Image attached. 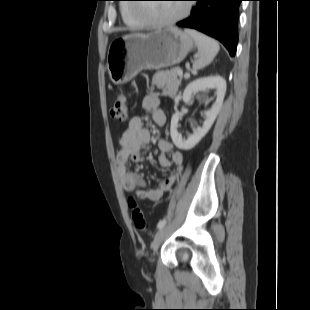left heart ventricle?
I'll return each instance as SVG.
<instances>
[{
  "label": "left heart ventricle",
  "instance_id": "1",
  "mask_svg": "<svg viewBox=\"0 0 310 310\" xmlns=\"http://www.w3.org/2000/svg\"><path fill=\"white\" fill-rule=\"evenodd\" d=\"M182 11L183 6L176 4H154L142 9V13L157 20L172 19Z\"/></svg>",
  "mask_w": 310,
  "mask_h": 310
}]
</instances>
